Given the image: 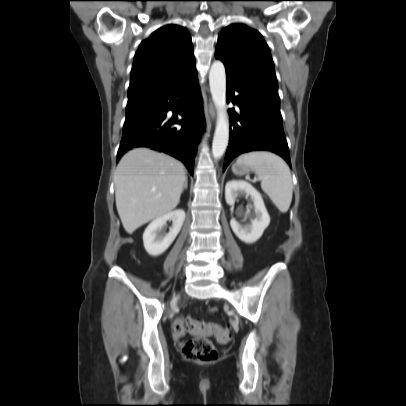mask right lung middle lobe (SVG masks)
Listing matches in <instances>:
<instances>
[{
  "instance_id": "obj_1",
  "label": "right lung middle lobe",
  "mask_w": 406,
  "mask_h": 406,
  "mask_svg": "<svg viewBox=\"0 0 406 406\" xmlns=\"http://www.w3.org/2000/svg\"><path fill=\"white\" fill-rule=\"evenodd\" d=\"M153 101L148 100L126 107L124 128L139 124L153 115Z\"/></svg>"
}]
</instances>
